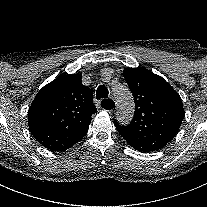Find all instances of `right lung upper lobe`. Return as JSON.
<instances>
[{"label":"right lung upper lobe","mask_w":207,"mask_h":207,"mask_svg":"<svg viewBox=\"0 0 207 207\" xmlns=\"http://www.w3.org/2000/svg\"><path fill=\"white\" fill-rule=\"evenodd\" d=\"M81 74L63 75L45 85L28 111L33 136L51 151H64L82 139L97 112Z\"/></svg>","instance_id":"right-lung-upper-lobe-1"}]
</instances>
